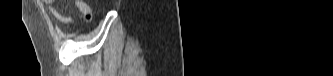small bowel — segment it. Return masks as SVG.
<instances>
[{
  "mask_svg": "<svg viewBox=\"0 0 333 76\" xmlns=\"http://www.w3.org/2000/svg\"><path fill=\"white\" fill-rule=\"evenodd\" d=\"M45 3L47 4L49 13L53 15L60 22L70 23L73 21V15L60 13L56 8L52 6L53 1L47 0L45 1ZM73 4L83 14L85 20L90 21L92 19L91 8L85 1L74 0Z\"/></svg>",
  "mask_w": 333,
  "mask_h": 76,
  "instance_id": "small-bowel-1",
  "label": "small bowel"
}]
</instances>
